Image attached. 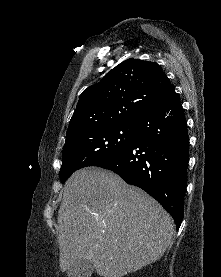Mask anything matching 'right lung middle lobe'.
<instances>
[{"mask_svg": "<svg viewBox=\"0 0 221 277\" xmlns=\"http://www.w3.org/2000/svg\"><path fill=\"white\" fill-rule=\"evenodd\" d=\"M134 123L96 126L79 132L65 142L59 176L64 183L73 172L96 166L123 153L131 144Z\"/></svg>", "mask_w": 221, "mask_h": 277, "instance_id": "dd1d6c3e", "label": "right lung middle lobe"}]
</instances>
